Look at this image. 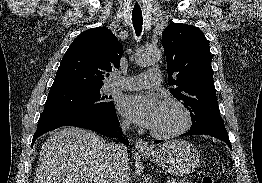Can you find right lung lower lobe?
Here are the masks:
<instances>
[{
	"label": "right lung lower lobe",
	"mask_w": 262,
	"mask_h": 183,
	"mask_svg": "<svg viewBox=\"0 0 262 183\" xmlns=\"http://www.w3.org/2000/svg\"><path fill=\"white\" fill-rule=\"evenodd\" d=\"M61 126H76L96 131L104 136L114 138L124 145L128 141L121 136L115 106L105 110H82L77 108H45L33 136L32 146L42 134ZM119 131V132H117Z\"/></svg>",
	"instance_id": "obj_1"
}]
</instances>
